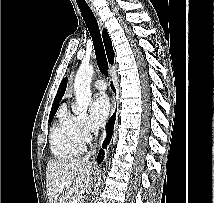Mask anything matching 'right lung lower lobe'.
Here are the masks:
<instances>
[{"label": "right lung lower lobe", "mask_w": 214, "mask_h": 203, "mask_svg": "<svg viewBox=\"0 0 214 203\" xmlns=\"http://www.w3.org/2000/svg\"><path fill=\"white\" fill-rule=\"evenodd\" d=\"M111 87L113 89V91L115 92V87L113 85V83H111ZM115 113L114 115L109 119L107 127H106V131H107V137L103 142V148H106V145H108L110 143L112 134H113V127H114V123H115ZM104 158V151L101 149L97 158V162L101 163V161Z\"/></svg>", "instance_id": "obj_1"}]
</instances>
